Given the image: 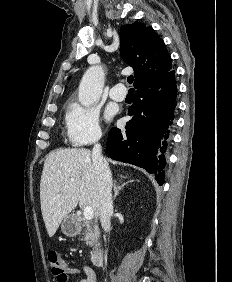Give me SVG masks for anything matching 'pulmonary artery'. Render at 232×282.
<instances>
[{
    "instance_id": "pulmonary-artery-1",
    "label": "pulmonary artery",
    "mask_w": 232,
    "mask_h": 282,
    "mask_svg": "<svg viewBox=\"0 0 232 282\" xmlns=\"http://www.w3.org/2000/svg\"><path fill=\"white\" fill-rule=\"evenodd\" d=\"M126 95H127L126 88L121 83L114 85L109 92L110 98L115 101H123Z\"/></svg>"
}]
</instances>
